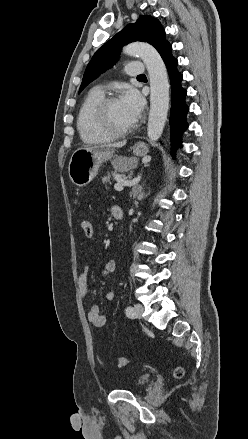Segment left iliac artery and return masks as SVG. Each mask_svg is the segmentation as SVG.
I'll list each match as a JSON object with an SVG mask.
<instances>
[{
    "instance_id": "44dca946",
    "label": "left iliac artery",
    "mask_w": 248,
    "mask_h": 439,
    "mask_svg": "<svg viewBox=\"0 0 248 439\" xmlns=\"http://www.w3.org/2000/svg\"><path fill=\"white\" fill-rule=\"evenodd\" d=\"M125 313H126V315H127L128 317H132L133 314H134V309H133V307L128 306V307L125 309Z\"/></svg>"
}]
</instances>
